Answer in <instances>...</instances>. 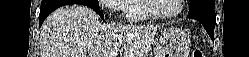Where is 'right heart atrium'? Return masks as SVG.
Wrapping results in <instances>:
<instances>
[{"instance_id": "obj_1", "label": "right heart atrium", "mask_w": 249, "mask_h": 57, "mask_svg": "<svg viewBox=\"0 0 249 57\" xmlns=\"http://www.w3.org/2000/svg\"><path fill=\"white\" fill-rule=\"evenodd\" d=\"M126 0H104L101 1L109 10L115 13H120L124 11V3Z\"/></svg>"}]
</instances>
